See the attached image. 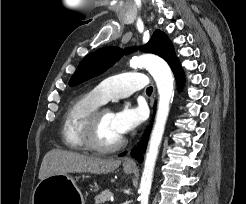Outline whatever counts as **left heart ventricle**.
<instances>
[{
  "mask_svg": "<svg viewBox=\"0 0 246 204\" xmlns=\"http://www.w3.org/2000/svg\"><path fill=\"white\" fill-rule=\"evenodd\" d=\"M123 136L118 132L113 121V114L110 111L104 112L101 116L97 139L103 145H112Z\"/></svg>",
  "mask_w": 246,
  "mask_h": 204,
  "instance_id": "b2bd125f",
  "label": "left heart ventricle"
}]
</instances>
